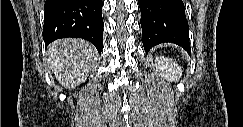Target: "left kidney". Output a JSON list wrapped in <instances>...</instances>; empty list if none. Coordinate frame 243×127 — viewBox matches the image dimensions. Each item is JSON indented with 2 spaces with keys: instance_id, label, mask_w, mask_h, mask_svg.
<instances>
[{
  "instance_id": "left-kidney-1",
  "label": "left kidney",
  "mask_w": 243,
  "mask_h": 127,
  "mask_svg": "<svg viewBox=\"0 0 243 127\" xmlns=\"http://www.w3.org/2000/svg\"><path fill=\"white\" fill-rule=\"evenodd\" d=\"M155 66L159 74L169 81L178 80V78L182 76L180 66L169 58L156 57Z\"/></svg>"
}]
</instances>
